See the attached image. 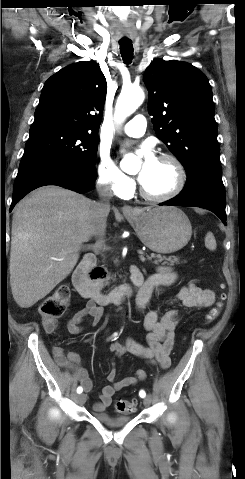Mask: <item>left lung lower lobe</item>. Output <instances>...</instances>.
<instances>
[{
	"mask_svg": "<svg viewBox=\"0 0 245 479\" xmlns=\"http://www.w3.org/2000/svg\"><path fill=\"white\" fill-rule=\"evenodd\" d=\"M218 161L196 167L187 175V182L175 198L159 205L200 207L215 213L226 225V197Z\"/></svg>",
	"mask_w": 245,
	"mask_h": 479,
	"instance_id": "0a47b994",
	"label": "left lung lower lobe"
}]
</instances>
